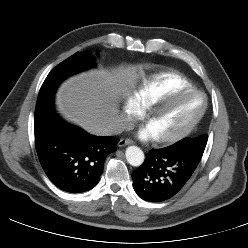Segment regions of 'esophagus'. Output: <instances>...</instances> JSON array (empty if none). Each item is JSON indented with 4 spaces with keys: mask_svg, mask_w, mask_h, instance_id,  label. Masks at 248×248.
<instances>
[{
    "mask_svg": "<svg viewBox=\"0 0 248 248\" xmlns=\"http://www.w3.org/2000/svg\"><path fill=\"white\" fill-rule=\"evenodd\" d=\"M131 144H133V141L131 139H121L118 143V146L124 147V146L131 145Z\"/></svg>",
    "mask_w": 248,
    "mask_h": 248,
    "instance_id": "obj_1",
    "label": "esophagus"
}]
</instances>
